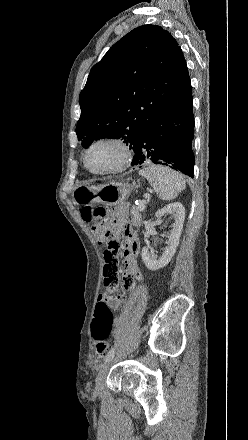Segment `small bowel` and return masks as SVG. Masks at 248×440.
<instances>
[{
  "label": "small bowel",
  "mask_w": 248,
  "mask_h": 440,
  "mask_svg": "<svg viewBox=\"0 0 248 440\" xmlns=\"http://www.w3.org/2000/svg\"><path fill=\"white\" fill-rule=\"evenodd\" d=\"M113 223L117 228L123 229L126 238L124 276L121 277L120 257H104L102 259V276L107 293L101 294L98 297V302L106 303L112 310L116 311L121 308L124 295L119 294L115 296L112 294H116L121 289V284H123L125 289H128L134 282H140L142 274L137 263L140 242L135 231L127 223V209L125 207L116 210Z\"/></svg>",
  "instance_id": "small-bowel-1"
}]
</instances>
